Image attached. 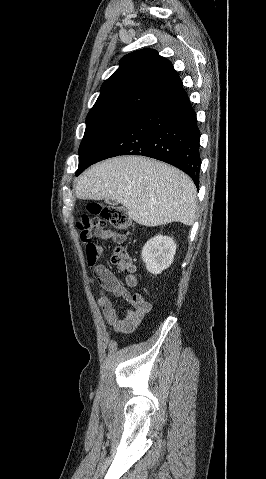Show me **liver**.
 <instances>
[{
    "instance_id": "6515ba94",
    "label": "liver",
    "mask_w": 266,
    "mask_h": 479,
    "mask_svg": "<svg viewBox=\"0 0 266 479\" xmlns=\"http://www.w3.org/2000/svg\"><path fill=\"white\" fill-rule=\"evenodd\" d=\"M75 194L83 200L111 198L143 226H190L196 219L193 181L179 169L146 157L122 156L95 164L80 176Z\"/></svg>"
}]
</instances>
